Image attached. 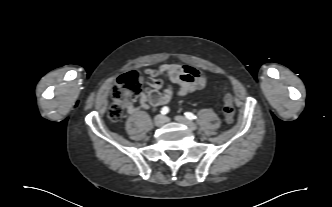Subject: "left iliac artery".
<instances>
[{
    "instance_id": "44dca946",
    "label": "left iliac artery",
    "mask_w": 332,
    "mask_h": 207,
    "mask_svg": "<svg viewBox=\"0 0 332 207\" xmlns=\"http://www.w3.org/2000/svg\"><path fill=\"white\" fill-rule=\"evenodd\" d=\"M185 117L190 120H194L196 118V116L191 112H186Z\"/></svg>"
}]
</instances>
